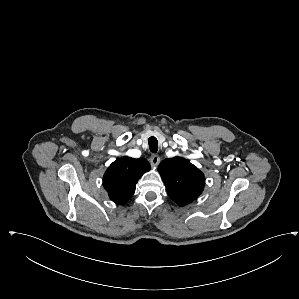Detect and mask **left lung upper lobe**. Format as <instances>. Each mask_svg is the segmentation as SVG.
<instances>
[{
  "label": "left lung upper lobe",
  "instance_id": "5c2ea615",
  "mask_svg": "<svg viewBox=\"0 0 299 299\" xmlns=\"http://www.w3.org/2000/svg\"><path fill=\"white\" fill-rule=\"evenodd\" d=\"M158 171L170 198L180 206L192 202L203 191L204 174L184 158L165 159L160 163Z\"/></svg>",
  "mask_w": 299,
  "mask_h": 299
}]
</instances>
